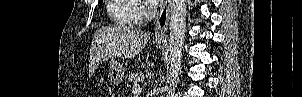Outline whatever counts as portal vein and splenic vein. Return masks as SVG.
I'll return each instance as SVG.
<instances>
[{
  "mask_svg": "<svg viewBox=\"0 0 302 97\" xmlns=\"http://www.w3.org/2000/svg\"><path fill=\"white\" fill-rule=\"evenodd\" d=\"M142 91V88L140 87V85H136L135 87H133V93H140Z\"/></svg>",
  "mask_w": 302,
  "mask_h": 97,
  "instance_id": "1",
  "label": "portal vein and splenic vein"
}]
</instances>
